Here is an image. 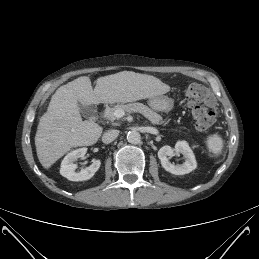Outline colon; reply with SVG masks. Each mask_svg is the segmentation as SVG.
<instances>
[{
	"mask_svg": "<svg viewBox=\"0 0 259 259\" xmlns=\"http://www.w3.org/2000/svg\"><path fill=\"white\" fill-rule=\"evenodd\" d=\"M185 97L196 128L208 132L216 121L212 93L204 85L193 83L186 88Z\"/></svg>",
	"mask_w": 259,
	"mask_h": 259,
	"instance_id": "1",
	"label": "colon"
}]
</instances>
